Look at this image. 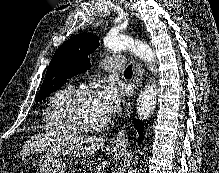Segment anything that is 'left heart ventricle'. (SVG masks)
I'll return each mask as SVG.
<instances>
[{
	"mask_svg": "<svg viewBox=\"0 0 219 173\" xmlns=\"http://www.w3.org/2000/svg\"><path fill=\"white\" fill-rule=\"evenodd\" d=\"M77 119L84 125H97L107 118L97 94L93 93L82 98L75 106Z\"/></svg>",
	"mask_w": 219,
	"mask_h": 173,
	"instance_id": "1",
	"label": "left heart ventricle"
}]
</instances>
